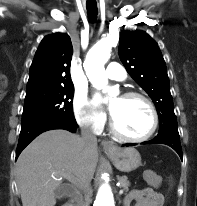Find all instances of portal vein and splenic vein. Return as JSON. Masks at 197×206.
I'll return each mask as SVG.
<instances>
[{
    "label": "portal vein and splenic vein",
    "instance_id": "1",
    "mask_svg": "<svg viewBox=\"0 0 197 206\" xmlns=\"http://www.w3.org/2000/svg\"><path fill=\"white\" fill-rule=\"evenodd\" d=\"M67 179H68L70 182H72L73 184H76V181H75L72 177L68 176ZM119 194H123V190H120V191H119Z\"/></svg>",
    "mask_w": 197,
    "mask_h": 206
}]
</instances>
